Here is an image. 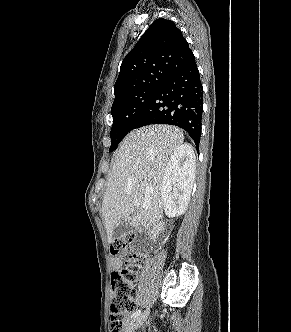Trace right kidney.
Here are the masks:
<instances>
[{"label":"right kidney","instance_id":"1","mask_svg":"<svg viewBox=\"0 0 291 332\" xmlns=\"http://www.w3.org/2000/svg\"><path fill=\"white\" fill-rule=\"evenodd\" d=\"M195 178V154L189 144L180 145L165 169L161 201L169 218L182 215L190 201ZM172 189H175L172 191Z\"/></svg>","mask_w":291,"mask_h":332}]
</instances>
